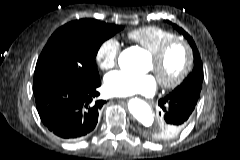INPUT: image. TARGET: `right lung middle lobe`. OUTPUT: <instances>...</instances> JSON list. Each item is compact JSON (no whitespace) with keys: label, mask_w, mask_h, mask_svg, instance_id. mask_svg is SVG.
<instances>
[{"label":"right lung middle lobe","mask_w":240,"mask_h":160,"mask_svg":"<svg viewBox=\"0 0 240 160\" xmlns=\"http://www.w3.org/2000/svg\"><path fill=\"white\" fill-rule=\"evenodd\" d=\"M123 27L80 19L57 29L42 50L34 72V88L52 80L89 86L99 80L95 57L101 44Z\"/></svg>","instance_id":"right-lung-middle-lobe-1"}]
</instances>
